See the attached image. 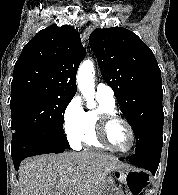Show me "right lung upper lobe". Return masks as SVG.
I'll return each instance as SVG.
<instances>
[{"label":"right lung upper lobe","instance_id":"right-lung-upper-lobe-1","mask_svg":"<svg viewBox=\"0 0 178 195\" xmlns=\"http://www.w3.org/2000/svg\"><path fill=\"white\" fill-rule=\"evenodd\" d=\"M85 54L80 34L72 26L53 24L39 31L15 63L11 96L43 92L73 97L76 73Z\"/></svg>","mask_w":178,"mask_h":195}]
</instances>
